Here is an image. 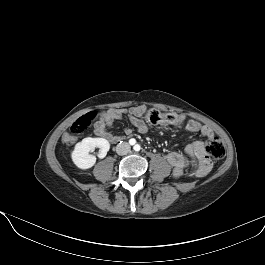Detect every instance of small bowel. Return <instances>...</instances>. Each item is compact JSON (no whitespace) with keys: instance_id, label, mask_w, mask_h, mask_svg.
Masks as SVG:
<instances>
[{"instance_id":"1","label":"small bowel","mask_w":265,"mask_h":265,"mask_svg":"<svg viewBox=\"0 0 265 265\" xmlns=\"http://www.w3.org/2000/svg\"><path fill=\"white\" fill-rule=\"evenodd\" d=\"M145 112L144 107H131L128 109H115L109 111L103 118L95 124V133L99 137L116 143L120 141V137L113 134L111 129L116 121H122L127 118L132 124V127H124L125 135H130L134 130L138 132H145L147 130L146 123L142 120ZM175 128L185 127L188 131L199 133L204 138H211L214 136L213 129L208 125H202L198 121L188 120L181 123L173 124ZM167 161L172 166V175L174 178L182 177L184 170L191 166L194 169V174L198 178L208 175L212 168V163L208 157L204 143L200 140H195L185 148V153L170 152L167 154Z\"/></svg>"}]
</instances>
